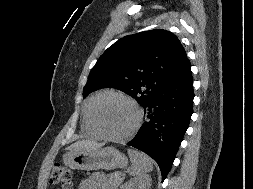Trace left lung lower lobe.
Segmentation results:
<instances>
[{
    "mask_svg": "<svg viewBox=\"0 0 253 189\" xmlns=\"http://www.w3.org/2000/svg\"><path fill=\"white\" fill-rule=\"evenodd\" d=\"M192 82L191 65L186 59L178 73L143 106L145 123L127 144L158 163L162 181L171 169L193 113Z\"/></svg>",
    "mask_w": 253,
    "mask_h": 189,
    "instance_id": "left-lung-lower-lobe-1",
    "label": "left lung lower lobe"
}]
</instances>
